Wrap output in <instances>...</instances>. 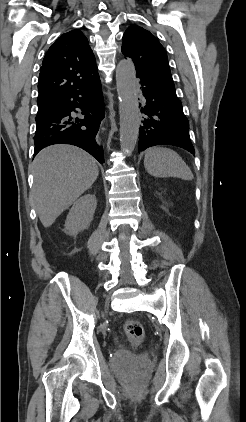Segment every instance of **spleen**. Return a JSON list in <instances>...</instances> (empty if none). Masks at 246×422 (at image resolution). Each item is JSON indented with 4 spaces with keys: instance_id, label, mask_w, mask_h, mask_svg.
Returning <instances> with one entry per match:
<instances>
[{
    "instance_id": "3e777b00",
    "label": "spleen",
    "mask_w": 246,
    "mask_h": 422,
    "mask_svg": "<svg viewBox=\"0 0 246 422\" xmlns=\"http://www.w3.org/2000/svg\"><path fill=\"white\" fill-rule=\"evenodd\" d=\"M146 171L155 177H178L192 180L193 173L177 152L166 147H152L144 157Z\"/></svg>"
}]
</instances>
